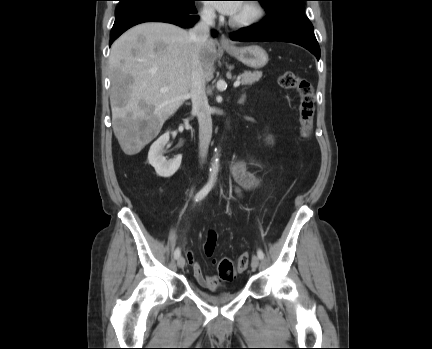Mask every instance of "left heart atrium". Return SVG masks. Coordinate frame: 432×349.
<instances>
[{"label": "left heart atrium", "instance_id": "left-heart-atrium-1", "mask_svg": "<svg viewBox=\"0 0 432 349\" xmlns=\"http://www.w3.org/2000/svg\"><path fill=\"white\" fill-rule=\"evenodd\" d=\"M211 6L223 14L233 16L238 11L241 4L239 1H222L211 4Z\"/></svg>", "mask_w": 432, "mask_h": 349}]
</instances>
